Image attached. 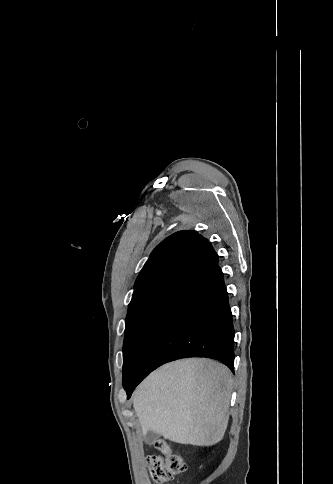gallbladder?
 I'll return each mask as SVG.
<instances>
[{"label": "gallbladder", "mask_w": 333, "mask_h": 484, "mask_svg": "<svg viewBox=\"0 0 333 484\" xmlns=\"http://www.w3.org/2000/svg\"><path fill=\"white\" fill-rule=\"evenodd\" d=\"M158 438V434L153 432V431H149L146 435H145V441L146 443L148 444H152V443H155L156 440Z\"/></svg>", "instance_id": "obj_1"}]
</instances>
